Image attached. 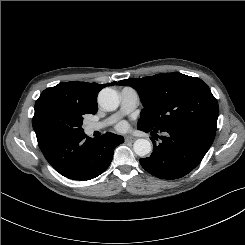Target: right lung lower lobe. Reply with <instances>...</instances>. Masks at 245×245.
Wrapping results in <instances>:
<instances>
[{
	"instance_id": "obj_1",
	"label": "right lung lower lobe",
	"mask_w": 245,
	"mask_h": 245,
	"mask_svg": "<svg viewBox=\"0 0 245 245\" xmlns=\"http://www.w3.org/2000/svg\"><path fill=\"white\" fill-rule=\"evenodd\" d=\"M122 136L107 132L92 139L84 133L57 140L45 158L61 175L73 180H90L110 165Z\"/></svg>"
}]
</instances>
